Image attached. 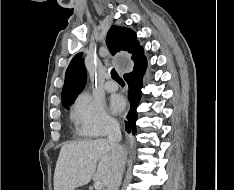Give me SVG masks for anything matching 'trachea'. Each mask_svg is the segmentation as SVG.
Instances as JSON below:
<instances>
[{
  "instance_id": "trachea-1",
  "label": "trachea",
  "mask_w": 234,
  "mask_h": 190,
  "mask_svg": "<svg viewBox=\"0 0 234 190\" xmlns=\"http://www.w3.org/2000/svg\"><path fill=\"white\" fill-rule=\"evenodd\" d=\"M111 77H112V79H114L116 81H122L121 77L118 75V73L115 69L111 70Z\"/></svg>"
}]
</instances>
